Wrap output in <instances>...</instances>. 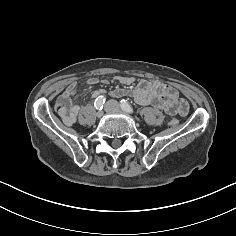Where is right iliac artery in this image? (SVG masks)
Instances as JSON below:
<instances>
[{
	"mask_svg": "<svg viewBox=\"0 0 236 236\" xmlns=\"http://www.w3.org/2000/svg\"><path fill=\"white\" fill-rule=\"evenodd\" d=\"M105 97L104 96H98L94 102V106L97 110H101L103 108V105L105 103Z\"/></svg>",
	"mask_w": 236,
	"mask_h": 236,
	"instance_id": "82829eb1",
	"label": "right iliac artery"
}]
</instances>
